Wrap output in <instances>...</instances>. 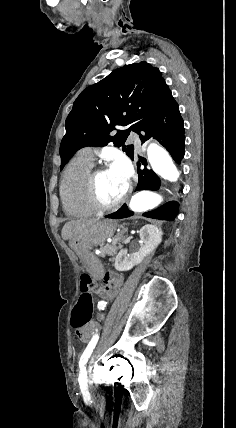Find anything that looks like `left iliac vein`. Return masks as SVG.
<instances>
[{
    "label": "left iliac vein",
    "instance_id": "1",
    "mask_svg": "<svg viewBox=\"0 0 236 428\" xmlns=\"http://www.w3.org/2000/svg\"><path fill=\"white\" fill-rule=\"evenodd\" d=\"M109 341L108 340H102L100 342V346L97 347V349H95L94 351H92L91 356H90V360L88 362V368H93L94 363L97 361V358H99L100 356H102L103 354V349L105 347V345H108Z\"/></svg>",
    "mask_w": 236,
    "mask_h": 428
}]
</instances>
